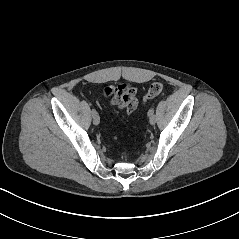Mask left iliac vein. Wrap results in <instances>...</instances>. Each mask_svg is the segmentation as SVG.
<instances>
[{
	"instance_id": "obj_1",
	"label": "left iliac vein",
	"mask_w": 239,
	"mask_h": 239,
	"mask_svg": "<svg viewBox=\"0 0 239 239\" xmlns=\"http://www.w3.org/2000/svg\"><path fill=\"white\" fill-rule=\"evenodd\" d=\"M149 122L151 125H154L156 123V116L154 114L150 116Z\"/></svg>"
}]
</instances>
